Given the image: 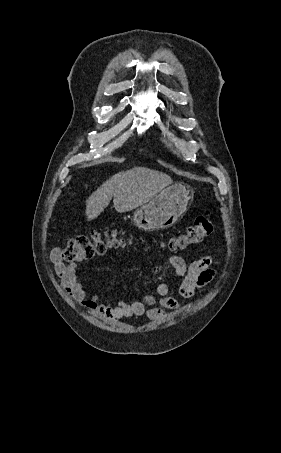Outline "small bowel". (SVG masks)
<instances>
[{"mask_svg":"<svg viewBox=\"0 0 281 453\" xmlns=\"http://www.w3.org/2000/svg\"><path fill=\"white\" fill-rule=\"evenodd\" d=\"M50 260L62 285L72 297L79 300L85 308L112 320H121L134 315H144L150 320H156L166 312L177 308L178 302L169 296L173 288L178 289L183 297L192 298L214 276L210 254L190 264L181 255H173L169 258V262L174 268V274L169 281L160 283L157 287L161 296L151 293L140 300L108 303L85 287L78 279L75 263L66 261L60 249L52 251Z\"/></svg>","mask_w":281,"mask_h":453,"instance_id":"small-bowel-1","label":"small bowel"}]
</instances>
